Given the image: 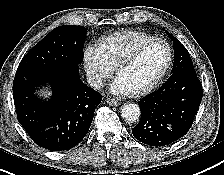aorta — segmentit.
I'll return each mask as SVG.
<instances>
[{"instance_id": "obj_1", "label": "aorta", "mask_w": 224, "mask_h": 175, "mask_svg": "<svg viewBox=\"0 0 224 175\" xmlns=\"http://www.w3.org/2000/svg\"><path fill=\"white\" fill-rule=\"evenodd\" d=\"M140 115V108L137 104L127 103L121 108V116L128 122L137 121Z\"/></svg>"}]
</instances>
